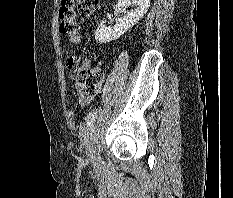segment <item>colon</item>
I'll use <instances>...</instances> for the list:
<instances>
[{"label":"colon","mask_w":233,"mask_h":198,"mask_svg":"<svg viewBox=\"0 0 233 198\" xmlns=\"http://www.w3.org/2000/svg\"><path fill=\"white\" fill-rule=\"evenodd\" d=\"M99 6V0H61L59 8L60 31L65 34L72 43L80 39L78 15L91 16ZM70 70L75 66V59L67 60ZM73 80L78 88L86 94H96L103 83L104 72L100 68H80L73 72Z\"/></svg>","instance_id":"1"}]
</instances>
